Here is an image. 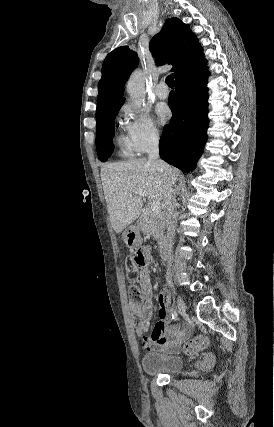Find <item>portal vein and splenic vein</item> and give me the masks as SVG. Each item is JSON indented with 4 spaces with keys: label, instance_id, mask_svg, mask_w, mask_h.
Returning a JSON list of instances; mask_svg holds the SVG:
<instances>
[{
    "label": "portal vein and splenic vein",
    "instance_id": "portal-vein-and-splenic-vein-1",
    "mask_svg": "<svg viewBox=\"0 0 274 427\" xmlns=\"http://www.w3.org/2000/svg\"><path fill=\"white\" fill-rule=\"evenodd\" d=\"M134 194H137V196H143V198H146V196H148L145 190H135ZM150 210L151 212H153V214H159V212H161L160 202H152V204H150Z\"/></svg>",
    "mask_w": 274,
    "mask_h": 427
}]
</instances>
